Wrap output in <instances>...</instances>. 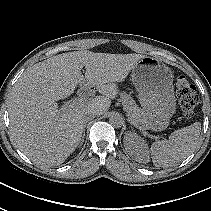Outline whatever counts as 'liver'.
<instances>
[{
	"label": "liver",
	"instance_id": "obj_1",
	"mask_svg": "<svg viewBox=\"0 0 211 211\" xmlns=\"http://www.w3.org/2000/svg\"><path fill=\"white\" fill-rule=\"evenodd\" d=\"M140 54L74 51L56 55L25 70L9 98L11 137L35 164L63 163L81 141L82 113L102 115L118 93ZM85 68V77L81 70ZM87 81L101 94L74 108L59 109L56 101L72 95Z\"/></svg>",
	"mask_w": 211,
	"mask_h": 211
}]
</instances>
